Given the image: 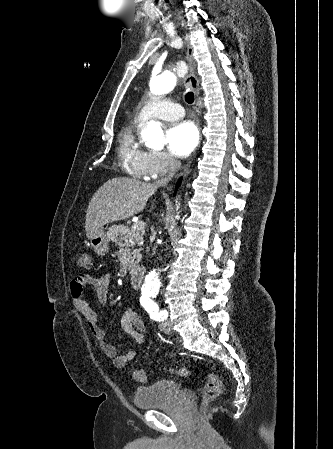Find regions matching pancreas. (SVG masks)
<instances>
[{
    "label": "pancreas",
    "mask_w": 333,
    "mask_h": 449,
    "mask_svg": "<svg viewBox=\"0 0 333 449\" xmlns=\"http://www.w3.org/2000/svg\"><path fill=\"white\" fill-rule=\"evenodd\" d=\"M108 238H113L120 248L125 247L128 269L135 268L140 262L142 255L141 248L136 249L134 247L135 245H141L143 233L137 230L134 231L132 228L124 225H114L110 227Z\"/></svg>",
    "instance_id": "pancreas-1"
}]
</instances>
